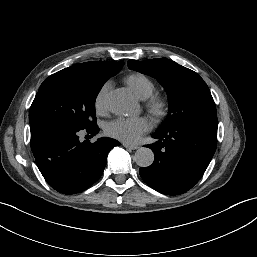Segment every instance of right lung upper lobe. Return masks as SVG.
Masks as SVG:
<instances>
[{
	"label": "right lung upper lobe",
	"instance_id": "right-lung-upper-lobe-1",
	"mask_svg": "<svg viewBox=\"0 0 257 257\" xmlns=\"http://www.w3.org/2000/svg\"><path fill=\"white\" fill-rule=\"evenodd\" d=\"M124 62H111V61H97V62H85L76 64L72 67L87 72L97 78H110L116 75L123 66Z\"/></svg>",
	"mask_w": 257,
	"mask_h": 257
}]
</instances>
